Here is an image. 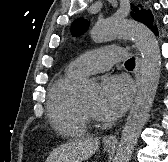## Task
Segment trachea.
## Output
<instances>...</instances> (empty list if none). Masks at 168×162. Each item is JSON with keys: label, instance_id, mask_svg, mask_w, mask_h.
Wrapping results in <instances>:
<instances>
[{"label": "trachea", "instance_id": "3493384b", "mask_svg": "<svg viewBox=\"0 0 168 162\" xmlns=\"http://www.w3.org/2000/svg\"><path fill=\"white\" fill-rule=\"evenodd\" d=\"M125 66L127 68H134L135 67V59L132 57L131 59L125 62Z\"/></svg>", "mask_w": 168, "mask_h": 162}]
</instances>
